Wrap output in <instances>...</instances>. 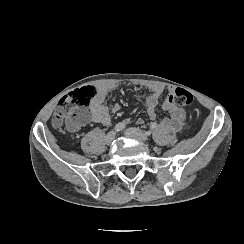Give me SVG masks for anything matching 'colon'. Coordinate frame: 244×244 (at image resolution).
Here are the masks:
<instances>
[{
  "mask_svg": "<svg viewBox=\"0 0 244 244\" xmlns=\"http://www.w3.org/2000/svg\"><path fill=\"white\" fill-rule=\"evenodd\" d=\"M95 95V88L90 83H83L78 90H72L65 96L57 106L53 115V124L65 128L70 133H77L81 130L82 124H87L92 119V112L89 109L90 100ZM193 95L185 88L178 87L168 97V101L174 105L190 106L193 103Z\"/></svg>",
  "mask_w": 244,
  "mask_h": 244,
  "instance_id": "colon-1",
  "label": "colon"
}]
</instances>
